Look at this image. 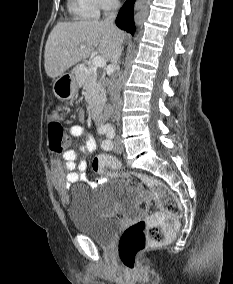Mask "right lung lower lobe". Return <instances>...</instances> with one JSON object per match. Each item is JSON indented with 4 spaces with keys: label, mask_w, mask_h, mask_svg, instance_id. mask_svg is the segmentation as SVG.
Here are the masks:
<instances>
[{
    "label": "right lung lower lobe",
    "mask_w": 233,
    "mask_h": 284,
    "mask_svg": "<svg viewBox=\"0 0 233 284\" xmlns=\"http://www.w3.org/2000/svg\"><path fill=\"white\" fill-rule=\"evenodd\" d=\"M135 0H126L123 7L120 9L116 18V25L134 35L135 24L133 17V7Z\"/></svg>",
    "instance_id": "1"
}]
</instances>
